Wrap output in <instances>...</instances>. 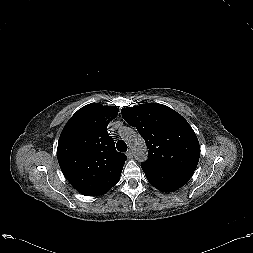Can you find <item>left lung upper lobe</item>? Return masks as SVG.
Returning a JSON list of instances; mask_svg holds the SVG:
<instances>
[{
	"label": "left lung upper lobe",
	"mask_w": 253,
	"mask_h": 253,
	"mask_svg": "<svg viewBox=\"0 0 253 253\" xmlns=\"http://www.w3.org/2000/svg\"><path fill=\"white\" fill-rule=\"evenodd\" d=\"M121 113L146 142L148 159L144 164L195 171L200 145L195 132L180 114L158 103L127 107Z\"/></svg>",
	"instance_id": "obj_1"
}]
</instances>
